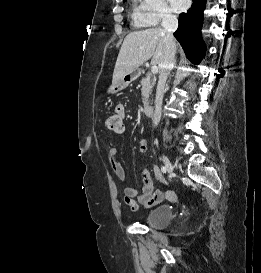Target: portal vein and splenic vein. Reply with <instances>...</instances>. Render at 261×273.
<instances>
[{
	"instance_id": "portal-vein-and-splenic-vein-1",
	"label": "portal vein and splenic vein",
	"mask_w": 261,
	"mask_h": 273,
	"mask_svg": "<svg viewBox=\"0 0 261 273\" xmlns=\"http://www.w3.org/2000/svg\"><path fill=\"white\" fill-rule=\"evenodd\" d=\"M151 73L152 74L158 73V66L157 65H152V67H151Z\"/></svg>"
}]
</instances>
